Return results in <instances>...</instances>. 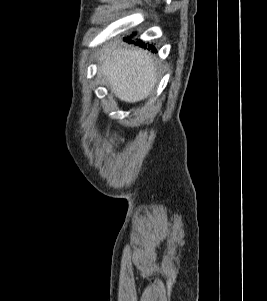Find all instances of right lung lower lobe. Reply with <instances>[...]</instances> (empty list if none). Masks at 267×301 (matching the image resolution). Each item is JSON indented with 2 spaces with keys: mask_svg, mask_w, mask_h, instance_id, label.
<instances>
[{
  "mask_svg": "<svg viewBox=\"0 0 267 301\" xmlns=\"http://www.w3.org/2000/svg\"><path fill=\"white\" fill-rule=\"evenodd\" d=\"M128 40H129V39H128ZM138 44H140V46H143L141 41H139ZM146 46H147V45L145 44L144 47L146 48ZM149 49H153V50H154L155 47L152 46V45H149ZM155 52H156V50H155Z\"/></svg>",
  "mask_w": 267,
  "mask_h": 301,
  "instance_id": "obj_1",
  "label": "right lung lower lobe"
}]
</instances>
